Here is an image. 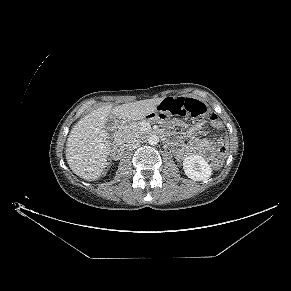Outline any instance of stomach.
<instances>
[{"mask_svg": "<svg viewBox=\"0 0 291 291\" xmlns=\"http://www.w3.org/2000/svg\"><path fill=\"white\" fill-rule=\"evenodd\" d=\"M168 116L165 113H160V112H151L147 115V119L149 121L153 122H164L166 121Z\"/></svg>", "mask_w": 291, "mask_h": 291, "instance_id": "0dacf381", "label": "stomach"}]
</instances>
